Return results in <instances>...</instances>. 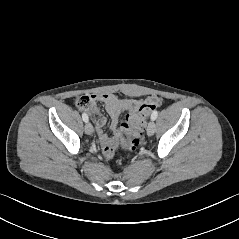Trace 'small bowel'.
Returning a JSON list of instances; mask_svg holds the SVG:
<instances>
[{
	"label": "small bowel",
	"mask_w": 239,
	"mask_h": 239,
	"mask_svg": "<svg viewBox=\"0 0 239 239\" xmlns=\"http://www.w3.org/2000/svg\"><path fill=\"white\" fill-rule=\"evenodd\" d=\"M92 101L91 113L99 114L98 103L102 102L105 105L106 112L110 117V127L112 135H108L103 127L106 120L103 116H99L95 121L96 132L102 145L103 154L106 158L113 156V150L118 141L122 138L124 129L119 128V116L122 112L133 114L139 108L140 102L134 99L120 98L115 94H93L90 96ZM147 103L157 104L156 97H150L146 100Z\"/></svg>",
	"instance_id": "1"
}]
</instances>
